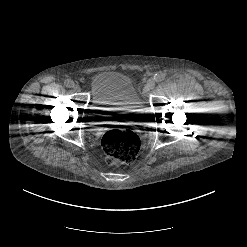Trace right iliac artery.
<instances>
[{
    "label": "right iliac artery",
    "mask_w": 247,
    "mask_h": 247,
    "mask_svg": "<svg viewBox=\"0 0 247 247\" xmlns=\"http://www.w3.org/2000/svg\"><path fill=\"white\" fill-rule=\"evenodd\" d=\"M64 84L67 88H72L74 86V82L71 79L65 80Z\"/></svg>",
    "instance_id": "obj_1"
}]
</instances>
